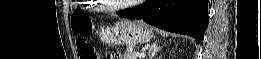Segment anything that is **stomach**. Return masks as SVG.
Segmentation results:
<instances>
[{
    "label": "stomach",
    "mask_w": 261,
    "mask_h": 59,
    "mask_svg": "<svg viewBox=\"0 0 261 59\" xmlns=\"http://www.w3.org/2000/svg\"><path fill=\"white\" fill-rule=\"evenodd\" d=\"M152 37V28L140 20H120L113 26H106L100 31L101 41L108 46H135L149 42Z\"/></svg>",
    "instance_id": "stomach-1"
}]
</instances>
